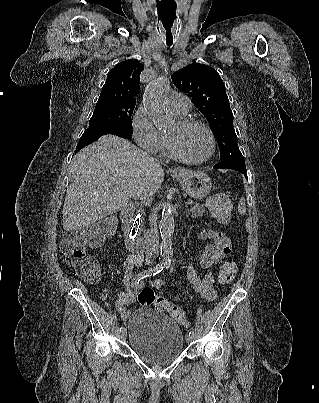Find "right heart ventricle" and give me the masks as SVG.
Segmentation results:
<instances>
[{"mask_svg":"<svg viewBox=\"0 0 319 403\" xmlns=\"http://www.w3.org/2000/svg\"><path fill=\"white\" fill-rule=\"evenodd\" d=\"M176 115H178V116H182V115H179V114H176ZM165 138V137H164ZM164 149L166 150V153L168 154V155H171V153H170V149H169V145H168V141H167V139L165 138V147H164Z\"/></svg>","mask_w":319,"mask_h":403,"instance_id":"e07e8e85","label":"right heart ventricle"}]
</instances>
